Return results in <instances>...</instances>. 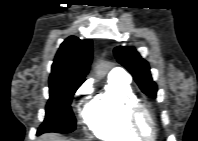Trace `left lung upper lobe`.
Wrapping results in <instances>:
<instances>
[{
    "label": "left lung upper lobe",
    "instance_id": "5c2ea615",
    "mask_svg": "<svg viewBox=\"0 0 198 141\" xmlns=\"http://www.w3.org/2000/svg\"><path fill=\"white\" fill-rule=\"evenodd\" d=\"M114 54L118 62L133 75L142 92L149 98H155L157 85L152 80L148 62L134 48L117 47Z\"/></svg>",
    "mask_w": 198,
    "mask_h": 141
}]
</instances>
